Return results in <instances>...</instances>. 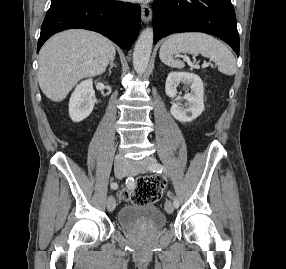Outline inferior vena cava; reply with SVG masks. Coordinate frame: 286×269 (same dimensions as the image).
Returning <instances> with one entry per match:
<instances>
[{
	"mask_svg": "<svg viewBox=\"0 0 286 269\" xmlns=\"http://www.w3.org/2000/svg\"><path fill=\"white\" fill-rule=\"evenodd\" d=\"M118 159H123V157L121 155H118Z\"/></svg>",
	"mask_w": 286,
	"mask_h": 269,
	"instance_id": "inferior-vena-cava-1",
	"label": "inferior vena cava"
}]
</instances>
